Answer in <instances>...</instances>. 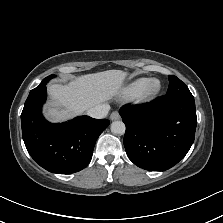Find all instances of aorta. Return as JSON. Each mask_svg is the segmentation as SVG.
<instances>
[{
  "label": "aorta",
  "mask_w": 223,
  "mask_h": 223,
  "mask_svg": "<svg viewBox=\"0 0 223 223\" xmlns=\"http://www.w3.org/2000/svg\"><path fill=\"white\" fill-rule=\"evenodd\" d=\"M110 130L114 134H123L125 132V124L120 120L113 121L110 125Z\"/></svg>",
  "instance_id": "aorta-1"
}]
</instances>
